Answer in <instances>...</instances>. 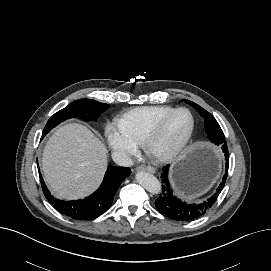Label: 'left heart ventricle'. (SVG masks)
I'll list each match as a JSON object with an SVG mask.
<instances>
[{
    "mask_svg": "<svg viewBox=\"0 0 271 271\" xmlns=\"http://www.w3.org/2000/svg\"><path fill=\"white\" fill-rule=\"evenodd\" d=\"M191 118L187 112H179L172 117L163 135L156 142L157 150H166L178 145L189 133Z\"/></svg>",
    "mask_w": 271,
    "mask_h": 271,
    "instance_id": "obj_1",
    "label": "left heart ventricle"
}]
</instances>
